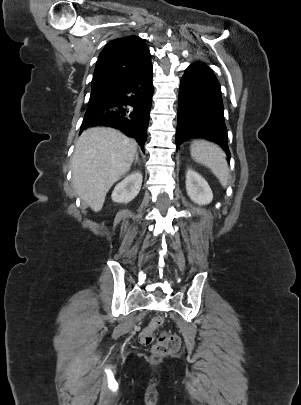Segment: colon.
I'll list each match as a JSON object with an SVG mask.
<instances>
[{"instance_id":"5ec220e1","label":"colon","mask_w":301,"mask_h":405,"mask_svg":"<svg viewBox=\"0 0 301 405\" xmlns=\"http://www.w3.org/2000/svg\"><path fill=\"white\" fill-rule=\"evenodd\" d=\"M163 319L154 317L150 323L140 332L139 342L144 346L152 345V353L155 357H164L175 353L180 348V338L173 333L163 332L155 340V331L162 325Z\"/></svg>"}]
</instances>
